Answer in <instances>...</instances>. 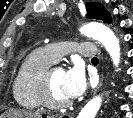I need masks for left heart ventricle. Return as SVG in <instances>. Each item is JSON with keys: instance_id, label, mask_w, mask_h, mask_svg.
Instances as JSON below:
<instances>
[{"instance_id": "1", "label": "left heart ventricle", "mask_w": 133, "mask_h": 118, "mask_svg": "<svg viewBox=\"0 0 133 118\" xmlns=\"http://www.w3.org/2000/svg\"><path fill=\"white\" fill-rule=\"evenodd\" d=\"M64 70L54 67L51 72V93L54 99L58 101H67L69 98L65 95L62 87Z\"/></svg>"}]
</instances>
